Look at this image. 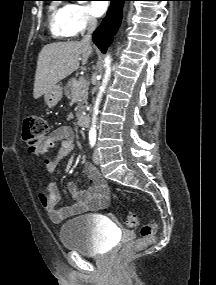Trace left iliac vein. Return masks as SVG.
<instances>
[{
    "label": "left iliac vein",
    "mask_w": 216,
    "mask_h": 285,
    "mask_svg": "<svg viewBox=\"0 0 216 285\" xmlns=\"http://www.w3.org/2000/svg\"><path fill=\"white\" fill-rule=\"evenodd\" d=\"M93 162L98 165L100 163V154L98 149H95L94 153H93Z\"/></svg>",
    "instance_id": "obj_1"
}]
</instances>
